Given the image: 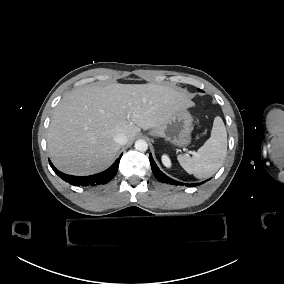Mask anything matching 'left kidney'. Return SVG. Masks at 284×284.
<instances>
[{"label": "left kidney", "instance_id": "left-kidney-1", "mask_svg": "<svg viewBox=\"0 0 284 284\" xmlns=\"http://www.w3.org/2000/svg\"><path fill=\"white\" fill-rule=\"evenodd\" d=\"M162 163L165 167L170 168L171 167V160L167 154L162 155Z\"/></svg>", "mask_w": 284, "mask_h": 284}]
</instances>
